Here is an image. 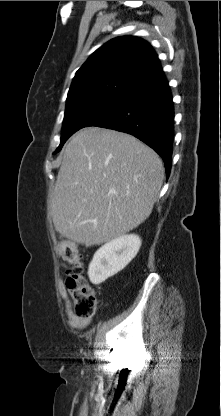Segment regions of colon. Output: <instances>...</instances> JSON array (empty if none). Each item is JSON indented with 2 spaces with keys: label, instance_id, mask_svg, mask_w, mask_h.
Instances as JSON below:
<instances>
[{
  "label": "colon",
  "instance_id": "colon-1",
  "mask_svg": "<svg viewBox=\"0 0 221 416\" xmlns=\"http://www.w3.org/2000/svg\"><path fill=\"white\" fill-rule=\"evenodd\" d=\"M59 256L70 266L66 288L72 300L73 313L79 318H90L97 305L96 294L84 278V263L79 247L68 239L57 246Z\"/></svg>",
  "mask_w": 221,
  "mask_h": 416
}]
</instances>
